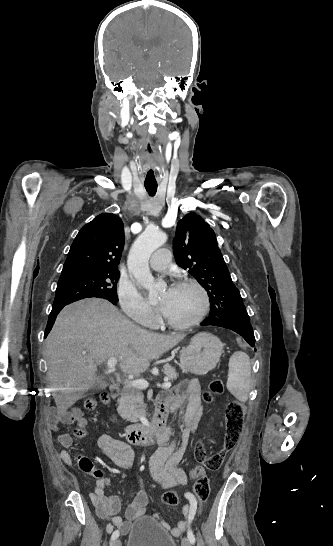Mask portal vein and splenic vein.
Wrapping results in <instances>:
<instances>
[{
  "mask_svg": "<svg viewBox=\"0 0 333 546\" xmlns=\"http://www.w3.org/2000/svg\"><path fill=\"white\" fill-rule=\"evenodd\" d=\"M85 354V352H83ZM118 362V359L116 357H110L107 361V366L110 371L115 370V366ZM126 385H132L134 387L140 388V389H146L149 386V383L145 379H135V380H125L124 382ZM161 388L167 389L171 387V383L168 381V379L165 380V382L162 385H158Z\"/></svg>",
  "mask_w": 333,
  "mask_h": 546,
  "instance_id": "obj_1",
  "label": "portal vein and splenic vein"
}]
</instances>
